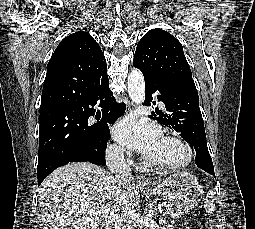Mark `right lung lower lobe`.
I'll return each mask as SVG.
<instances>
[{
    "label": "right lung lower lobe",
    "instance_id": "obj_1",
    "mask_svg": "<svg viewBox=\"0 0 255 229\" xmlns=\"http://www.w3.org/2000/svg\"><path fill=\"white\" fill-rule=\"evenodd\" d=\"M97 105L103 108L102 119L97 124L93 125V132L101 139L104 144V150L101 155L95 158L89 157L85 152L80 151L73 155L68 161L60 166L66 165L71 162H90L96 165H106L105 161V149L107 147V141L110 138V131L107 123H114L125 112V104H117L114 101L113 93L109 89L108 76L102 78V82L94 85L92 90L82 100L64 106H57L40 112V121L45 118H50L56 115L65 113H78L88 119L95 114L93 107ZM41 169L38 165V185L56 168Z\"/></svg>",
    "mask_w": 255,
    "mask_h": 229
}]
</instances>
